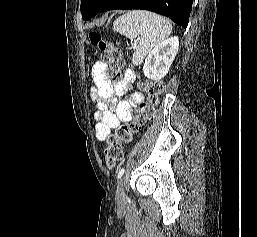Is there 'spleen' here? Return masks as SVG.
Here are the masks:
<instances>
[{"mask_svg": "<svg viewBox=\"0 0 257 237\" xmlns=\"http://www.w3.org/2000/svg\"><path fill=\"white\" fill-rule=\"evenodd\" d=\"M113 29L131 40L140 36L139 45L132 56L134 65H141L153 48L165 41L172 32L168 20L141 10L130 11L117 18Z\"/></svg>", "mask_w": 257, "mask_h": 237, "instance_id": "1", "label": "spleen"}]
</instances>
